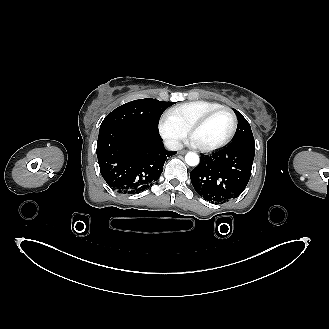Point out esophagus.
<instances>
[{
	"label": "esophagus",
	"instance_id": "obj_1",
	"mask_svg": "<svg viewBox=\"0 0 329 329\" xmlns=\"http://www.w3.org/2000/svg\"><path fill=\"white\" fill-rule=\"evenodd\" d=\"M187 151L186 150H181L179 151V154H185Z\"/></svg>",
	"mask_w": 329,
	"mask_h": 329
}]
</instances>
